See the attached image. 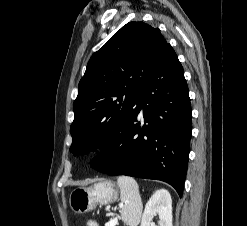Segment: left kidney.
I'll use <instances>...</instances> for the list:
<instances>
[{"mask_svg": "<svg viewBox=\"0 0 247 226\" xmlns=\"http://www.w3.org/2000/svg\"><path fill=\"white\" fill-rule=\"evenodd\" d=\"M155 215L159 216V226H172V199L165 189L157 190L148 200L140 226H155Z\"/></svg>", "mask_w": 247, "mask_h": 226, "instance_id": "obj_1", "label": "left kidney"}]
</instances>
